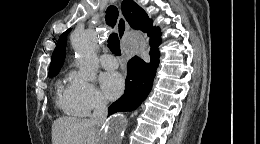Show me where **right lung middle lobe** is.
<instances>
[{
    "label": "right lung middle lobe",
    "mask_w": 260,
    "mask_h": 144,
    "mask_svg": "<svg viewBox=\"0 0 260 144\" xmlns=\"http://www.w3.org/2000/svg\"><path fill=\"white\" fill-rule=\"evenodd\" d=\"M59 71H54L49 73V77H53L58 74Z\"/></svg>",
    "instance_id": "obj_1"
}]
</instances>
